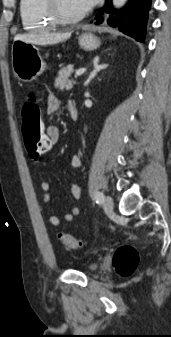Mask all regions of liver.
Instances as JSON below:
<instances>
[{
  "mask_svg": "<svg viewBox=\"0 0 171 337\" xmlns=\"http://www.w3.org/2000/svg\"><path fill=\"white\" fill-rule=\"evenodd\" d=\"M71 33H35V34H19L14 37V41L21 40L36 45H52L69 39Z\"/></svg>",
  "mask_w": 171,
  "mask_h": 337,
  "instance_id": "liver-1",
  "label": "liver"
}]
</instances>
